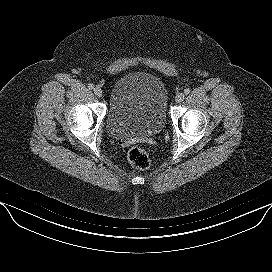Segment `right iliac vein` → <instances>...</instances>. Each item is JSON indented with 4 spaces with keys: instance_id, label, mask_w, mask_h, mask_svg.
Wrapping results in <instances>:
<instances>
[{
    "instance_id": "1",
    "label": "right iliac vein",
    "mask_w": 272,
    "mask_h": 272,
    "mask_svg": "<svg viewBox=\"0 0 272 272\" xmlns=\"http://www.w3.org/2000/svg\"><path fill=\"white\" fill-rule=\"evenodd\" d=\"M93 91L97 97H101L103 95V90L100 87H95Z\"/></svg>"
}]
</instances>
